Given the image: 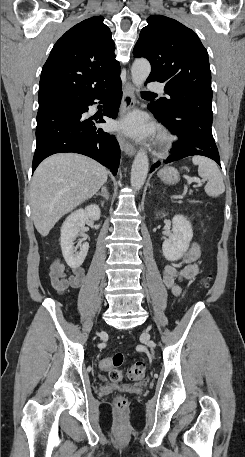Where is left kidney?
I'll list each match as a JSON object with an SVG mask.
<instances>
[{
    "label": "left kidney",
    "mask_w": 245,
    "mask_h": 457,
    "mask_svg": "<svg viewBox=\"0 0 245 457\" xmlns=\"http://www.w3.org/2000/svg\"><path fill=\"white\" fill-rule=\"evenodd\" d=\"M161 214L166 216L165 212ZM172 231L168 239H165L162 251L167 261H178L189 249L193 237L192 224L183 214H175L172 218Z\"/></svg>",
    "instance_id": "5707ae66"
}]
</instances>
